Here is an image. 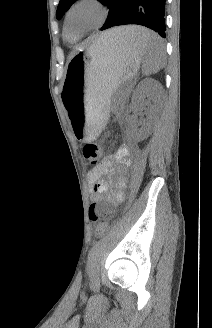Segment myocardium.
Here are the masks:
<instances>
[{"mask_svg":"<svg viewBox=\"0 0 212 328\" xmlns=\"http://www.w3.org/2000/svg\"><path fill=\"white\" fill-rule=\"evenodd\" d=\"M83 6L93 7L95 9H97L100 13V18H99L98 22L96 24H94L93 26L85 29L84 32L98 29L104 23V21L106 20V18L108 16L109 9L102 0H75L70 5L68 10L66 11L65 21H64V31L70 30V21H71L72 14L74 13V11L76 9L83 7Z\"/></svg>","mask_w":212,"mask_h":328,"instance_id":"f54148a6","label":"myocardium"}]
</instances>
